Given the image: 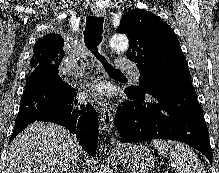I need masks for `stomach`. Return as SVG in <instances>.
Listing matches in <instances>:
<instances>
[{
    "label": "stomach",
    "instance_id": "0dacf381",
    "mask_svg": "<svg viewBox=\"0 0 219 173\" xmlns=\"http://www.w3.org/2000/svg\"><path fill=\"white\" fill-rule=\"evenodd\" d=\"M116 156L119 164L129 173H149L155 162L152 152L141 144L121 146Z\"/></svg>",
    "mask_w": 219,
    "mask_h": 173
}]
</instances>
